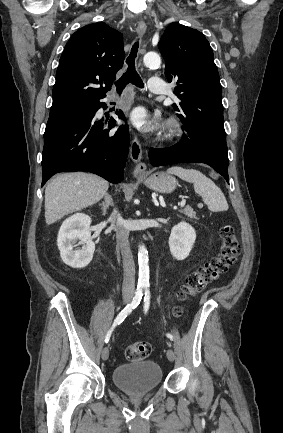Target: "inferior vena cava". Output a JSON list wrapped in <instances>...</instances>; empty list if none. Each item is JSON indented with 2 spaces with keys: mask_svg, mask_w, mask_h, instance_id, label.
Masks as SVG:
<instances>
[{
  "mask_svg": "<svg viewBox=\"0 0 283 433\" xmlns=\"http://www.w3.org/2000/svg\"><path fill=\"white\" fill-rule=\"evenodd\" d=\"M110 221L115 227L117 245L121 251L123 259L124 279L122 293H132L133 295L135 289V265L129 245V231L124 227L123 221L117 210L112 212Z\"/></svg>",
  "mask_w": 283,
  "mask_h": 433,
  "instance_id": "inferior-vena-cava-1",
  "label": "inferior vena cava"
}]
</instances>
